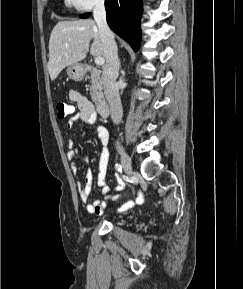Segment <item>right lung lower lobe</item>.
Wrapping results in <instances>:
<instances>
[{"label":"right lung lower lobe","instance_id":"98d812e1","mask_svg":"<svg viewBox=\"0 0 243 289\" xmlns=\"http://www.w3.org/2000/svg\"><path fill=\"white\" fill-rule=\"evenodd\" d=\"M105 8L110 28L137 51L141 39L142 0H105ZM88 16L84 14L81 17Z\"/></svg>","mask_w":243,"mask_h":289}]
</instances>
